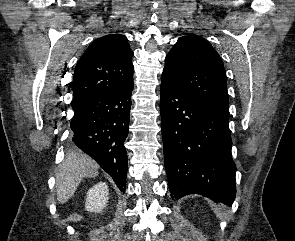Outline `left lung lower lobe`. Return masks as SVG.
I'll use <instances>...</instances> for the list:
<instances>
[{"label":"left lung lower lobe","mask_w":295,"mask_h":241,"mask_svg":"<svg viewBox=\"0 0 295 241\" xmlns=\"http://www.w3.org/2000/svg\"><path fill=\"white\" fill-rule=\"evenodd\" d=\"M160 111L165 169L172 199L204 195L231 205L236 167L229 115L161 78Z\"/></svg>","instance_id":"1"}]
</instances>
